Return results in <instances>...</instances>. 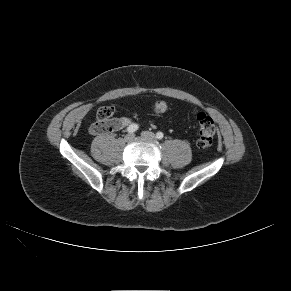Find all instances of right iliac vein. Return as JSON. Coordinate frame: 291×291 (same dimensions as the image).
<instances>
[{
	"label": "right iliac vein",
	"instance_id": "63e3f726",
	"mask_svg": "<svg viewBox=\"0 0 291 291\" xmlns=\"http://www.w3.org/2000/svg\"><path fill=\"white\" fill-rule=\"evenodd\" d=\"M134 139V134L130 133L125 136L126 142H131Z\"/></svg>",
	"mask_w": 291,
	"mask_h": 291
}]
</instances>
